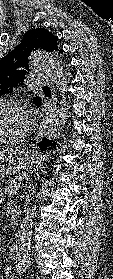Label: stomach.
Here are the masks:
<instances>
[{"mask_svg":"<svg viewBox=\"0 0 113 279\" xmlns=\"http://www.w3.org/2000/svg\"><path fill=\"white\" fill-rule=\"evenodd\" d=\"M44 157L21 148L0 151V180L23 169L38 168Z\"/></svg>","mask_w":113,"mask_h":279,"instance_id":"obj_1","label":"stomach"}]
</instances>
